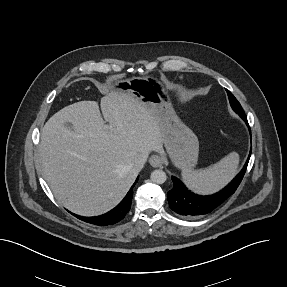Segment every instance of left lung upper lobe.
Listing matches in <instances>:
<instances>
[{"mask_svg":"<svg viewBox=\"0 0 287 287\" xmlns=\"http://www.w3.org/2000/svg\"><path fill=\"white\" fill-rule=\"evenodd\" d=\"M228 97H229V101L231 104V107L233 108V110L238 113L239 115H245L240 103L238 102V100L233 96V94L229 91L226 90Z\"/></svg>","mask_w":287,"mask_h":287,"instance_id":"obj_1","label":"left lung upper lobe"}]
</instances>
